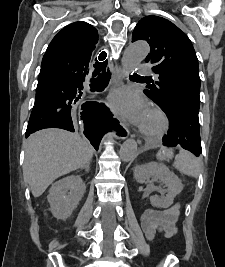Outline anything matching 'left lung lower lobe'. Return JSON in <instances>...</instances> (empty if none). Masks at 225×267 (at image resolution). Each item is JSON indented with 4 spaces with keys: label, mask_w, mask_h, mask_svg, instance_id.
I'll return each instance as SVG.
<instances>
[{
    "label": "left lung lower lobe",
    "mask_w": 225,
    "mask_h": 267,
    "mask_svg": "<svg viewBox=\"0 0 225 267\" xmlns=\"http://www.w3.org/2000/svg\"><path fill=\"white\" fill-rule=\"evenodd\" d=\"M199 92L187 89L177 94L166 113L170 128L163 138L165 146H181L196 156L202 153L199 129Z\"/></svg>",
    "instance_id": "obj_1"
}]
</instances>
